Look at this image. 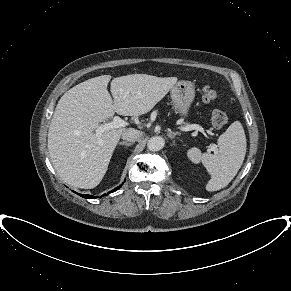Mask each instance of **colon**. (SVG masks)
Returning a JSON list of instances; mask_svg holds the SVG:
<instances>
[{
  "label": "colon",
  "mask_w": 291,
  "mask_h": 291,
  "mask_svg": "<svg viewBox=\"0 0 291 291\" xmlns=\"http://www.w3.org/2000/svg\"><path fill=\"white\" fill-rule=\"evenodd\" d=\"M220 98V94L217 90H215L210 85H205L202 88V99L206 103H214L217 102ZM211 122L217 128L224 127L228 122L227 114L222 110H214L211 113Z\"/></svg>",
  "instance_id": "obj_1"
}]
</instances>
